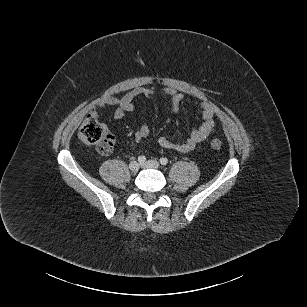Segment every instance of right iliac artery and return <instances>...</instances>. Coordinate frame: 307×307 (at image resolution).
<instances>
[{
	"instance_id": "right-iliac-artery-1",
	"label": "right iliac artery",
	"mask_w": 307,
	"mask_h": 307,
	"mask_svg": "<svg viewBox=\"0 0 307 307\" xmlns=\"http://www.w3.org/2000/svg\"><path fill=\"white\" fill-rule=\"evenodd\" d=\"M138 161H139V163L142 164V163H144V162L146 161V157L143 156V155H142V156H139V157H138Z\"/></svg>"
}]
</instances>
